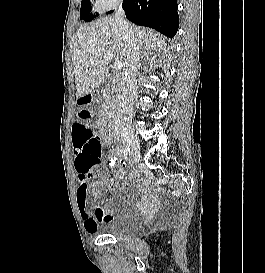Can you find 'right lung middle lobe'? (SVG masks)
I'll list each match as a JSON object with an SVG mask.
<instances>
[{
  "mask_svg": "<svg viewBox=\"0 0 265 273\" xmlns=\"http://www.w3.org/2000/svg\"><path fill=\"white\" fill-rule=\"evenodd\" d=\"M91 0H82L81 2V13H80V19H83L85 21H91L94 16L91 14L92 6L90 3ZM112 11L108 12L111 13Z\"/></svg>",
  "mask_w": 265,
  "mask_h": 273,
  "instance_id": "obj_1",
  "label": "right lung middle lobe"
}]
</instances>
